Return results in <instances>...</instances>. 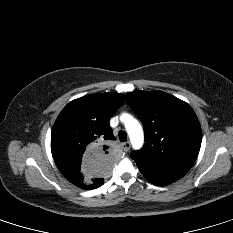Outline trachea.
<instances>
[{"label":"trachea","mask_w":233,"mask_h":233,"mask_svg":"<svg viewBox=\"0 0 233 233\" xmlns=\"http://www.w3.org/2000/svg\"><path fill=\"white\" fill-rule=\"evenodd\" d=\"M118 135H119V139H120L121 142H125L127 140L126 132L120 131Z\"/></svg>","instance_id":"obj_1"}]
</instances>
